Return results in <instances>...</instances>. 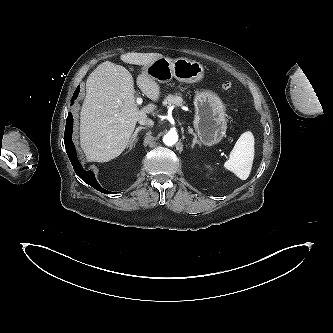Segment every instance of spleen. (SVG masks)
Masks as SVG:
<instances>
[{
	"label": "spleen",
	"instance_id": "1",
	"mask_svg": "<svg viewBox=\"0 0 333 333\" xmlns=\"http://www.w3.org/2000/svg\"><path fill=\"white\" fill-rule=\"evenodd\" d=\"M254 159V137L250 131L243 133L230 153L224 167L239 179L246 180L251 172Z\"/></svg>",
	"mask_w": 333,
	"mask_h": 333
}]
</instances>
